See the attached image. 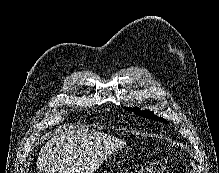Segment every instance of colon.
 I'll use <instances>...</instances> for the list:
<instances>
[{"label":"colon","instance_id":"1","mask_svg":"<svg viewBox=\"0 0 219 173\" xmlns=\"http://www.w3.org/2000/svg\"><path fill=\"white\" fill-rule=\"evenodd\" d=\"M123 173H170L166 166L159 162H148L144 165L134 166Z\"/></svg>","mask_w":219,"mask_h":173}]
</instances>
